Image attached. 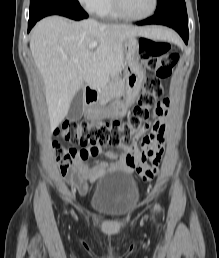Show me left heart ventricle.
<instances>
[{
  "mask_svg": "<svg viewBox=\"0 0 219 258\" xmlns=\"http://www.w3.org/2000/svg\"><path fill=\"white\" fill-rule=\"evenodd\" d=\"M125 11L132 16L147 14L153 7L154 0H121Z\"/></svg>",
  "mask_w": 219,
  "mask_h": 258,
  "instance_id": "b2bd125f",
  "label": "left heart ventricle"
}]
</instances>
